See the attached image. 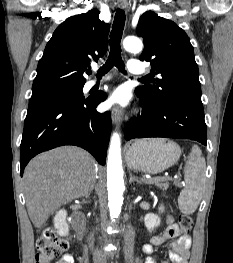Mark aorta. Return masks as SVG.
Listing matches in <instances>:
<instances>
[{"label":"aorta","mask_w":233,"mask_h":263,"mask_svg":"<svg viewBox=\"0 0 233 263\" xmlns=\"http://www.w3.org/2000/svg\"><path fill=\"white\" fill-rule=\"evenodd\" d=\"M123 46L129 52L139 53L143 44L137 37L129 36L124 39ZM124 189L121 141L119 134L114 133L111 137L107 161L108 206L112 218L117 217L121 212Z\"/></svg>","instance_id":"1"}]
</instances>
